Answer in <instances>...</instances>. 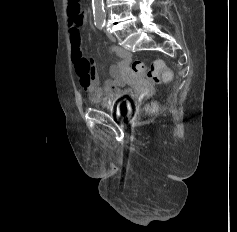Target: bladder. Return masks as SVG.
Here are the masks:
<instances>
[{"label": "bladder", "instance_id": "obj_1", "mask_svg": "<svg viewBox=\"0 0 237 232\" xmlns=\"http://www.w3.org/2000/svg\"><path fill=\"white\" fill-rule=\"evenodd\" d=\"M132 92L130 90H124V95L121 99L114 104L104 103L103 107L112 110L118 117H124L132 111L133 103L131 99Z\"/></svg>", "mask_w": 237, "mask_h": 232}]
</instances>
